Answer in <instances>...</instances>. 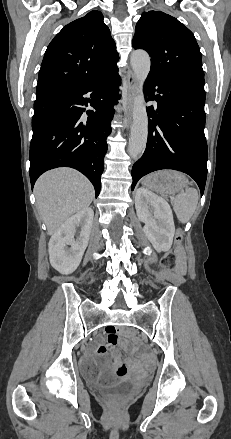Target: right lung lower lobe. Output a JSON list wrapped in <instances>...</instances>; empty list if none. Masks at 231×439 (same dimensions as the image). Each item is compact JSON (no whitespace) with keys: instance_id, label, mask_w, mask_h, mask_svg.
I'll use <instances>...</instances> for the list:
<instances>
[{"instance_id":"right-lung-lower-lobe-1","label":"right lung lower lobe","mask_w":231,"mask_h":439,"mask_svg":"<svg viewBox=\"0 0 231 439\" xmlns=\"http://www.w3.org/2000/svg\"><path fill=\"white\" fill-rule=\"evenodd\" d=\"M119 85L118 67H114L84 85L37 94L34 108L48 107L50 112L32 119V188L45 171L67 166L83 173L94 185L96 197L99 195ZM87 106L96 111L88 110L86 116Z\"/></svg>"}]
</instances>
